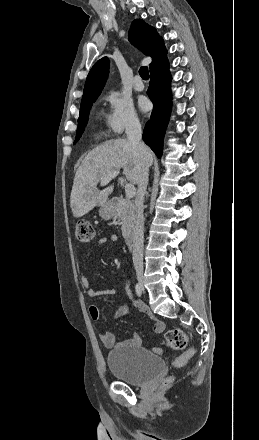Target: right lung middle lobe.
Returning <instances> with one entry per match:
<instances>
[{"mask_svg": "<svg viewBox=\"0 0 259 440\" xmlns=\"http://www.w3.org/2000/svg\"><path fill=\"white\" fill-rule=\"evenodd\" d=\"M95 100L96 99H92V100H87V101L81 102L80 115L78 118V128H77L75 142H77L80 139V137L84 131V128H85L87 121H88L89 111H90L92 104Z\"/></svg>", "mask_w": 259, "mask_h": 440, "instance_id": "dd1d6c3e", "label": "right lung middle lobe"}]
</instances>
